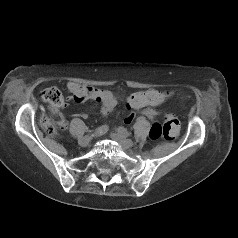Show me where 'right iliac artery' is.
I'll use <instances>...</instances> for the list:
<instances>
[{
    "instance_id": "obj_1",
    "label": "right iliac artery",
    "mask_w": 238,
    "mask_h": 238,
    "mask_svg": "<svg viewBox=\"0 0 238 238\" xmlns=\"http://www.w3.org/2000/svg\"><path fill=\"white\" fill-rule=\"evenodd\" d=\"M107 131H108V126L102 125L95 130V132H94V134H92V136H100V135L105 134Z\"/></svg>"
}]
</instances>
